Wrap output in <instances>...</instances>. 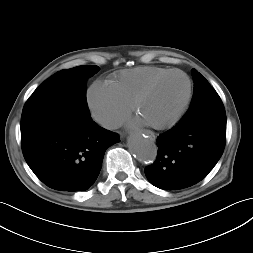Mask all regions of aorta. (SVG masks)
<instances>
[{"instance_id":"obj_1","label":"aorta","mask_w":253,"mask_h":253,"mask_svg":"<svg viewBox=\"0 0 253 253\" xmlns=\"http://www.w3.org/2000/svg\"><path fill=\"white\" fill-rule=\"evenodd\" d=\"M131 153L143 163H152L157 157V146L152 138L144 134H133L128 140Z\"/></svg>"}]
</instances>
